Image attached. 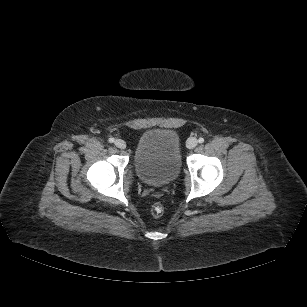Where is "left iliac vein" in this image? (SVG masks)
I'll list each match as a JSON object with an SVG mask.
<instances>
[{
    "label": "left iliac vein",
    "instance_id": "1",
    "mask_svg": "<svg viewBox=\"0 0 307 307\" xmlns=\"http://www.w3.org/2000/svg\"><path fill=\"white\" fill-rule=\"evenodd\" d=\"M197 140L193 137L189 138L186 142V146L188 149H193L197 146Z\"/></svg>",
    "mask_w": 307,
    "mask_h": 307
}]
</instances>
